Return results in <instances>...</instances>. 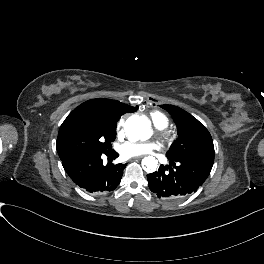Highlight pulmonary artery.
Masks as SVG:
<instances>
[{"label": "pulmonary artery", "instance_id": "e3ab8cb5", "mask_svg": "<svg viewBox=\"0 0 264 264\" xmlns=\"http://www.w3.org/2000/svg\"><path fill=\"white\" fill-rule=\"evenodd\" d=\"M159 127L163 128L166 124H157ZM125 149L127 151H134L135 154H150L154 149H156V145L154 143H125L120 146L121 152Z\"/></svg>", "mask_w": 264, "mask_h": 264}]
</instances>
